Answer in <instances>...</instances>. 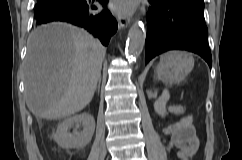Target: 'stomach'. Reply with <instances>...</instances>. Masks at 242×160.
Here are the masks:
<instances>
[{"instance_id":"stomach-1","label":"stomach","mask_w":242,"mask_h":160,"mask_svg":"<svg viewBox=\"0 0 242 160\" xmlns=\"http://www.w3.org/2000/svg\"><path fill=\"white\" fill-rule=\"evenodd\" d=\"M194 60L184 51H173L163 55L157 67V75L164 82L178 83L191 71Z\"/></svg>"}]
</instances>
